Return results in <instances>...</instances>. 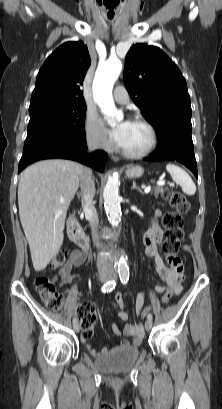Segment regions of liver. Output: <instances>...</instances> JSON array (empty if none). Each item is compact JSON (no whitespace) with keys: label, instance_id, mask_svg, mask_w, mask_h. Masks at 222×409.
Here are the masks:
<instances>
[{"label":"liver","instance_id":"liver-1","mask_svg":"<svg viewBox=\"0 0 222 409\" xmlns=\"http://www.w3.org/2000/svg\"><path fill=\"white\" fill-rule=\"evenodd\" d=\"M83 169L77 162L51 159L34 163L20 175L19 216L37 272L47 267L62 246L67 210Z\"/></svg>","mask_w":222,"mask_h":409}]
</instances>
